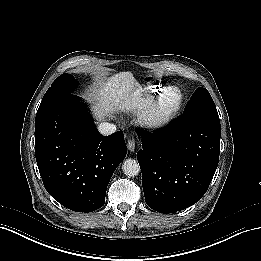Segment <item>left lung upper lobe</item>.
I'll use <instances>...</instances> for the list:
<instances>
[{
	"label": "left lung upper lobe",
	"instance_id": "1",
	"mask_svg": "<svg viewBox=\"0 0 261 261\" xmlns=\"http://www.w3.org/2000/svg\"><path fill=\"white\" fill-rule=\"evenodd\" d=\"M195 112L217 114L216 106L207 89L199 87L188 101L183 115Z\"/></svg>",
	"mask_w": 261,
	"mask_h": 261
}]
</instances>
